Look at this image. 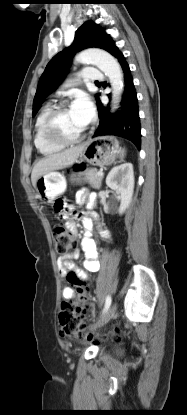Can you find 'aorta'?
Here are the masks:
<instances>
[{"instance_id": "aorta-1", "label": "aorta", "mask_w": 187, "mask_h": 415, "mask_svg": "<svg viewBox=\"0 0 187 415\" xmlns=\"http://www.w3.org/2000/svg\"><path fill=\"white\" fill-rule=\"evenodd\" d=\"M75 61L80 64L95 65L109 78L112 87V109H117L124 89L123 72L118 61L101 49L82 51L76 56Z\"/></svg>"}]
</instances>
